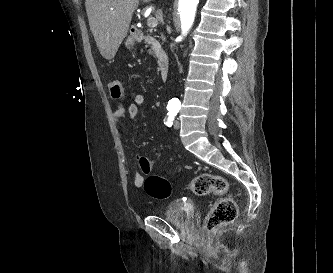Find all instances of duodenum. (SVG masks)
<instances>
[{
	"instance_id": "duodenum-1",
	"label": "duodenum",
	"mask_w": 333,
	"mask_h": 273,
	"mask_svg": "<svg viewBox=\"0 0 333 273\" xmlns=\"http://www.w3.org/2000/svg\"><path fill=\"white\" fill-rule=\"evenodd\" d=\"M131 31L136 41H150V42L153 41L151 37L145 35V33L136 26L131 27ZM157 57H158L160 76L163 80H165L168 76L170 69L169 56L165 52L159 51Z\"/></svg>"
}]
</instances>
